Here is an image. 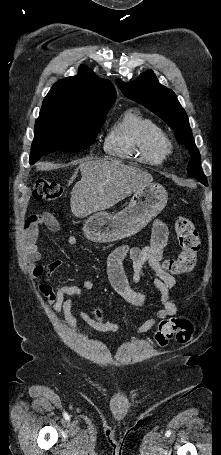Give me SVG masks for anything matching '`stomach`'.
Instances as JSON below:
<instances>
[{"label":"stomach","mask_w":221,"mask_h":455,"mask_svg":"<svg viewBox=\"0 0 221 455\" xmlns=\"http://www.w3.org/2000/svg\"><path fill=\"white\" fill-rule=\"evenodd\" d=\"M168 193L158 183L138 188L128 206L116 214L100 210L83 222L84 235L92 242L110 243L142 230L166 206Z\"/></svg>","instance_id":"stomach-1"}]
</instances>
